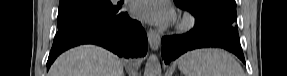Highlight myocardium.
<instances>
[{
    "instance_id": "obj_1",
    "label": "myocardium",
    "mask_w": 287,
    "mask_h": 76,
    "mask_svg": "<svg viewBox=\"0 0 287 76\" xmlns=\"http://www.w3.org/2000/svg\"><path fill=\"white\" fill-rule=\"evenodd\" d=\"M195 24H196L195 17L190 13H186L180 19L177 25V30L179 32H187L191 30L195 26Z\"/></svg>"
}]
</instances>
